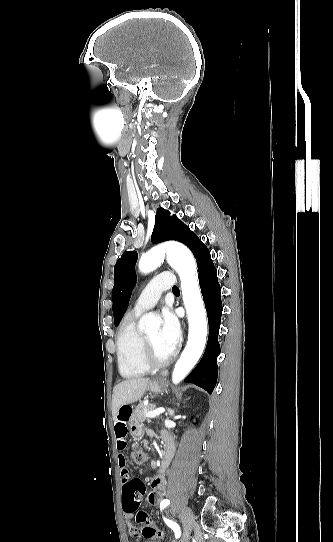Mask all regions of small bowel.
<instances>
[{
    "label": "small bowel",
    "mask_w": 333,
    "mask_h": 542,
    "mask_svg": "<svg viewBox=\"0 0 333 542\" xmlns=\"http://www.w3.org/2000/svg\"><path fill=\"white\" fill-rule=\"evenodd\" d=\"M132 413H133V410L131 406L120 405L118 407V415L114 423L116 448L118 452L120 453L119 465H120L121 473H122L123 497H131V491L127 488V483L130 479L127 478L126 476L127 469L125 466V456L123 455V452L127 449V446H128V441H127L128 424L131 421ZM167 448L168 446L166 445V449ZM165 492H166L165 474L158 473L151 480V491L149 492L148 497H147L148 502L151 505H158L162 501L163 497L165 496ZM123 518L125 520H128L130 518V515L128 513H125L123 515ZM135 521L137 522L136 516H135ZM126 526H127L128 532L134 538V541L140 542L141 535L138 533V530L135 524L131 521H128ZM151 526H153L152 522H151ZM156 530H157V535L155 539L164 538L165 536L164 532L157 528ZM155 539H151V540H155Z\"/></svg>",
    "instance_id": "obj_1"
}]
</instances>
